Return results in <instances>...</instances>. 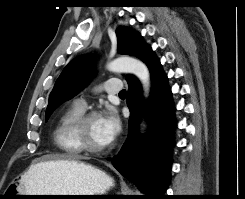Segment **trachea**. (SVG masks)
Segmentation results:
<instances>
[{"label":"trachea","mask_w":245,"mask_h":199,"mask_svg":"<svg viewBox=\"0 0 245 199\" xmlns=\"http://www.w3.org/2000/svg\"><path fill=\"white\" fill-rule=\"evenodd\" d=\"M120 97H125L126 96V90H122L119 92Z\"/></svg>","instance_id":"trachea-1"}]
</instances>
